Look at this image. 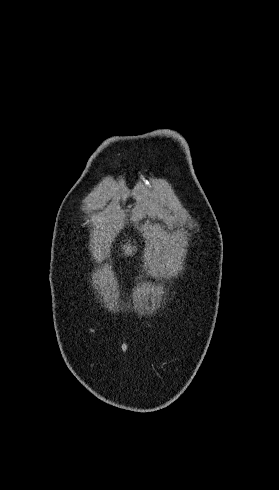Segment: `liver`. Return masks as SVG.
I'll use <instances>...</instances> for the list:
<instances>
[{"label":"liver","mask_w":279,"mask_h":490,"mask_svg":"<svg viewBox=\"0 0 279 490\" xmlns=\"http://www.w3.org/2000/svg\"><path fill=\"white\" fill-rule=\"evenodd\" d=\"M124 252L126 256H133V252H136L135 246H131V244H128V246H125Z\"/></svg>","instance_id":"1"}]
</instances>
